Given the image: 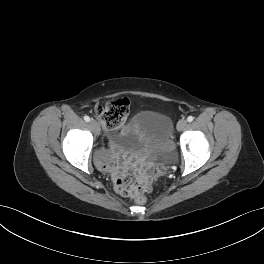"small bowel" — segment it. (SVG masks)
Returning <instances> with one entry per match:
<instances>
[{
  "instance_id": "obj_1",
  "label": "small bowel",
  "mask_w": 264,
  "mask_h": 264,
  "mask_svg": "<svg viewBox=\"0 0 264 264\" xmlns=\"http://www.w3.org/2000/svg\"><path fill=\"white\" fill-rule=\"evenodd\" d=\"M112 167H113V171H114L115 177H116V180H115V189L119 193V185L117 184V178H119L121 175L124 174L125 167H124V164L121 163V162L115 163Z\"/></svg>"
}]
</instances>
